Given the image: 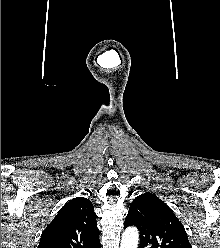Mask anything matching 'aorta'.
Here are the masks:
<instances>
[{
	"label": "aorta",
	"mask_w": 220,
	"mask_h": 248,
	"mask_svg": "<svg viewBox=\"0 0 220 248\" xmlns=\"http://www.w3.org/2000/svg\"><path fill=\"white\" fill-rule=\"evenodd\" d=\"M138 240H139V233L137 228L129 227L124 231L122 235L120 248H137Z\"/></svg>",
	"instance_id": "1"
}]
</instances>
